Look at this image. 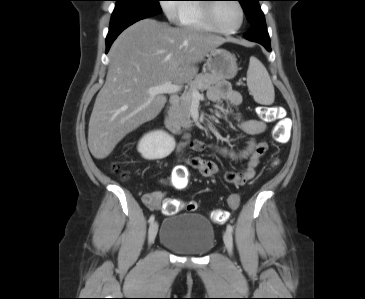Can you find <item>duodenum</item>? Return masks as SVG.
Masks as SVG:
<instances>
[{
    "label": "duodenum",
    "instance_id": "410a0bca",
    "mask_svg": "<svg viewBox=\"0 0 365 299\" xmlns=\"http://www.w3.org/2000/svg\"><path fill=\"white\" fill-rule=\"evenodd\" d=\"M179 103V96L174 94L169 97L168 107L164 115V123L166 127L174 132L182 131V124L173 118V110Z\"/></svg>",
    "mask_w": 365,
    "mask_h": 299
}]
</instances>
